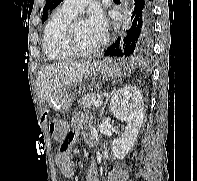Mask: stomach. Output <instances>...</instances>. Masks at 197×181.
<instances>
[{"label": "stomach", "instance_id": "obj_1", "mask_svg": "<svg viewBox=\"0 0 197 181\" xmlns=\"http://www.w3.org/2000/svg\"><path fill=\"white\" fill-rule=\"evenodd\" d=\"M122 67L116 61L104 60L97 62L95 75L102 80H110L120 75ZM73 94L66 87L55 90L48 98L47 103L50 108L58 112H66L72 106Z\"/></svg>", "mask_w": 197, "mask_h": 181}]
</instances>
